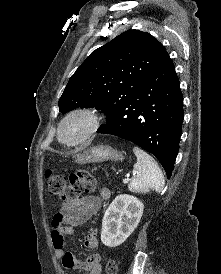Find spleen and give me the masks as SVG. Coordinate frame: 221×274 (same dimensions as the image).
<instances>
[{
	"label": "spleen",
	"mask_w": 221,
	"mask_h": 274,
	"mask_svg": "<svg viewBox=\"0 0 221 274\" xmlns=\"http://www.w3.org/2000/svg\"><path fill=\"white\" fill-rule=\"evenodd\" d=\"M137 161L133 167V178L128 188L134 193H147L150 190L161 192L165 185L163 173L157 162L145 151L133 148Z\"/></svg>",
	"instance_id": "3e777b00"
}]
</instances>
